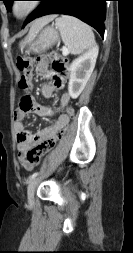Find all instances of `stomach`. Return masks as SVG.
Listing matches in <instances>:
<instances>
[{
    "label": "stomach",
    "mask_w": 133,
    "mask_h": 253,
    "mask_svg": "<svg viewBox=\"0 0 133 253\" xmlns=\"http://www.w3.org/2000/svg\"><path fill=\"white\" fill-rule=\"evenodd\" d=\"M59 41V32L54 26H47L41 29L36 35L24 42L27 46V53H42L51 48Z\"/></svg>",
    "instance_id": "1"
}]
</instances>
